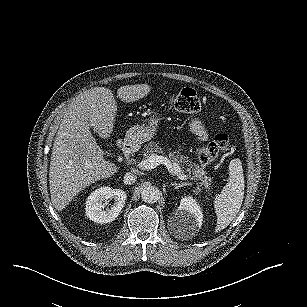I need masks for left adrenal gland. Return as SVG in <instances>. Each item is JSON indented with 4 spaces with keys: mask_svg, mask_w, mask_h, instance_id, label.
<instances>
[{
    "mask_svg": "<svg viewBox=\"0 0 307 307\" xmlns=\"http://www.w3.org/2000/svg\"><path fill=\"white\" fill-rule=\"evenodd\" d=\"M171 185L174 186L175 189H179V188H181V187L189 186V185H191V184L188 183V182H182V183L173 182V183H171Z\"/></svg>",
    "mask_w": 307,
    "mask_h": 307,
    "instance_id": "obj_1",
    "label": "left adrenal gland"
}]
</instances>
